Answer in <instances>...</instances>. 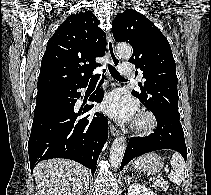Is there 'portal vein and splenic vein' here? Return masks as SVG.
<instances>
[{
  "label": "portal vein and splenic vein",
  "instance_id": "obj_1",
  "mask_svg": "<svg viewBox=\"0 0 211 195\" xmlns=\"http://www.w3.org/2000/svg\"><path fill=\"white\" fill-rule=\"evenodd\" d=\"M166 171H168V170H166ZM159 182H160V179H156L155 182H154V185H156Z\"/></svg>",
  "mask_w": 211,
  "mask_h": 195
}]
</instances>
